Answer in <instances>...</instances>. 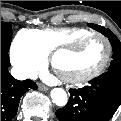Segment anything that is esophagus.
I'll return each mask as SVG.
<instances>
[{"mask_svg":"<svg viewBox=\"0 0 121 121\" xmlns=\"http://www.w3.org/2000/svg\"><path fill=\"white\" fill-rule=\"evenodd\" d=\"M39 88H40L41 90H43V91H47V90H48V88H47V87L42 86V85H40V86H39Z\"/></svg>","mask_w":121,"mask_h":121,"instance_id":"esophagus-1","label":"esophagus"}]
</instances>
